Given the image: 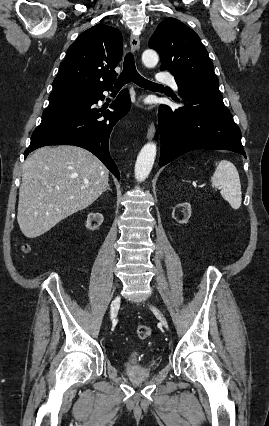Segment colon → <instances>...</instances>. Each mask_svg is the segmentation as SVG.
I'll use <instances>...</instances> for the list:
<instances>
[{
    "instance_id": "1",
    "label": "colon",
    "mask_w": 269,
    "mask_h": 426,
    "mask_svg": "<svg viewBox=\"0 0 269 426\" xmlns=\"http://www.w3.org/2000/svg\"><path fill=\"white\" fill-rule=\"evenodd\" d=\"M136 335L140 340H145L150 337L151 329L147 325L140 324L136 327Z\"/></svg>"
}]
</instances>
